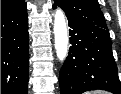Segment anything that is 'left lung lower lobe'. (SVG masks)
I'll return each mask as SVG.
<instances>
[{"label": "left lung lower lobe", "instance_id": "0a47b994", "mask_svg": "<svg viewBox=\"0 0 121 94\" xmlns=\"http://www.w3.org/2000/svg\"><path fill=\"white\" fill-rule=\"evenodd\" d=\"M57 6L53 4L54 9ZM67 18L71 46L59 74L61 94H82L95 89L121 94L108 29Z\"/></svg>", "mask_w": 121, "mask_h": 94}]
</instances>
